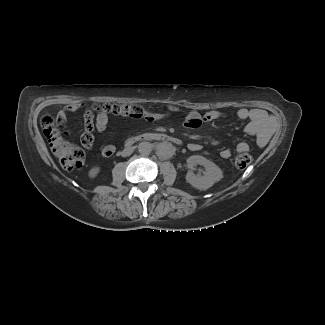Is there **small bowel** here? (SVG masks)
<instances>
[{"label": "small bowel", "mask_w": 325, "mask_h": 325, "mask_svg": "<svg viewBox=\"0 0 325 325\" xmlns=\"http://www.w3.org/2000/svg\"><path fill=\"white\" fill-rule=\"evenodd\" d=\"M83 104H69L57 113L55 118V129L60 135L64 133L68 134L69 138L75 137V131L65 124L64 119L69 113H73ZM169 111L171 113H176L179 109L175 106H170ZM227 117L226 113L223 111L212 110L204 114H200L197 111H190L187 113L185 118V126L189 129H199L202 125L211 122L219 121ZM237 117L241 120H248L246 126V132L249 134H257L258 143L262 145L265 142L268 134L272 128V121L270 117L261 109H247L241 108L237 111ZM161 118L159 114H151L150 120H158ZM108 125V117L103 113H98L94 118L90 110L85 111L84 115V133L82 135V144L85 148L91 149L94 143V132L102 133L106 130ZM189 149L192 151H198L201 149V145L197 142L190 143L188 145ZM250 149V146L246 142H240L236 146L237 152H245ZM115 153V146L112 144H103L100 147V156L102 158H109ZM231 151L229 149H224L220 152V156L223 159H228L231 157Z\"/></svg>", "instance_id": "obj_1"}]
</instances>
